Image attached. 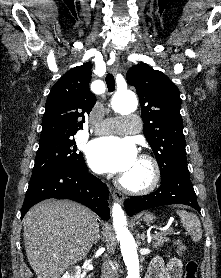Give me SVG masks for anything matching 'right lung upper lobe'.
<instances>
[{"label":"right lung upper lobe","mask_w":221,"mask_h":278,"mask_svg":"<svg viewBox=\"0 0 221 278\" xmlns=\"http://www.w3.org/2000/svg\"><path fill=\"white\" fill-rule=\"evenodd\" d=\"M90 63L67 71L51 88L45 105L40 141L73 136L83 129L85 116L96 103L89 90Z\"/></svg>","instance_id":"obj_1"}]
</instances>
